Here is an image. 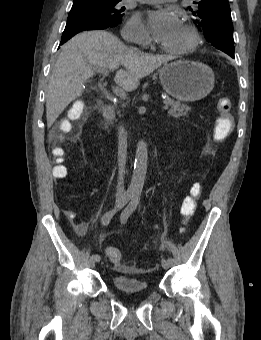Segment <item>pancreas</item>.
<instances>
[{
  "mask_svg": "<svg viewBox=\"0 0 261 340\" xmlns=\"http://www.w3.org/2000/svg\"><path fill=\"white\" fill-rule=\"evenodd\" d=\"M164 103L166 105H170L171 109L168 111L169 116L174 118H179L181 116H186L188 111H190V107L181 104L178 101H174L173 99L166 98Z\"/></svg>",
  "mask_w": 261,
  "mask_h": 340,
  "instance_id": "pancreas-1",
  "label": "pancreas"
}]
</instances>
